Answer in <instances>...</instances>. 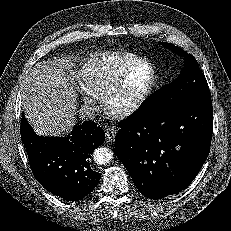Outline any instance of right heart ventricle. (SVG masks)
I'll use <instances>...</instances> for the list:
<instances>
[{"label":"right heart ventricle","mask_w":231,"mask_h":231,"mask_svg":"<svg viewBox=\"0 0 231 231\" xmlns=\"http://www.w3.org/2000/svg\"><path fill=\"white\" fill-rule=\"evenodd\" d=\"M139 56L130 53H101L84 60L78 68L77 80L82 90L98 98L105 88Z\"/></svg>","instance_id":"right-heart-ventricle-1"}]
</instances>
